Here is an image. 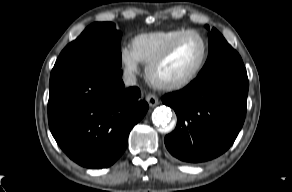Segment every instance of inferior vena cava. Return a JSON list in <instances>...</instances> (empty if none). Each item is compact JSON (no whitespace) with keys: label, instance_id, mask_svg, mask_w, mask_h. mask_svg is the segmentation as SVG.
Segmentation results:
<instances>
[{"label":"inferior vena cava","instance_id":"1","mask_svg":"<svg viewBox=\"0 0 292 192\" xmlns=\"http://www.w3.org/2000/svg\"><path fill=\"white\" fill-rule=\"evenodd\" d=\"M123 81L126 86H134L137 83V78L134 73L124 72Z\"/></svg>","mask_w":292,"mask_h":192}]
</instances>
